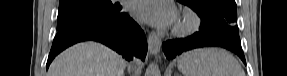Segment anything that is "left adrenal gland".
Listing matches in <instances>:
<instances>
[{
	"instance_id": "a2214340",
	"label": "left adrenal gland",
	"mask_w": 287,
	"mask_h": 76,
	"mask_svg": "<svg viewBox=\"0 0 287 76\" xmlns=\"http://www.w3.org/2000/svg\"><path fill=\"white\" fill-rule=\"evenodd\" d=\"M175 76H179V74H175Z\"/></svg>"
}]
</instances>
